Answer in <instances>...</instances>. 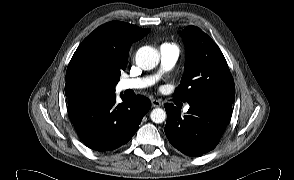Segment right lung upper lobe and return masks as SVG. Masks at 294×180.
Wrapping results in <instances>:
<instances>
[{"label":"right lung upper lobe","mask_w":294,"mask_h":180,"mask_svg":"<svg viewBox=\"0 0 294 180\" xmlns=\"http://www.w3.org/2000/svg\"><path fill=\"white\" fill-rule=\"evenodd\" d=\"M125 22L112 21L101 25L88 35L73 54L66 72L65 94L69 103L77 101L70 89L74 70L85 61H92L103 67L120 72L127 66L128 54L133 42L149 33Z\"/></svg>","instance_id":"obj_1"}]
</instances>
